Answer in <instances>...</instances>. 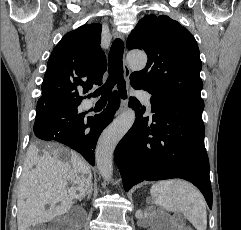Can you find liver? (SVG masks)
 Here are the masks:
<instances>
[{"label":"liver","mask_w":241,"mask_h":230,"mask_svg":"<svg viewBox=\"0 0 241 230\" xmlns=\"http://www.w3.org/2000/svg\"><path fill=\"white\" fill-rule=\"evenodd\" d=\"M51 147L53 154L36 146L27 151L17 200L18 230L66 213L91 185L90 167L77 153L57 144Z\"/></svg>","instance_id":"1"}]
</instances>
